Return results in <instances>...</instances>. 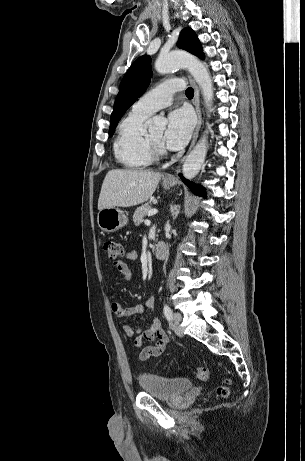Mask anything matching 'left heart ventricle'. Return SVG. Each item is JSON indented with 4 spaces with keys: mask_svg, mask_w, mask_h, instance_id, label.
Returning <instances> with one entry per match:
<instances>
[{
    "mask_svg": "<svg viewBox=\"0 0 305 461\" xmlns=\"http://www.w3.org/2000/svg\"><path fill=\"white\" fill-rule=\"evenodd\" d=\"M150 137L154 142H156L158 144H162V142H163V130L161 129V130L155 131L154 133H151Z\"/></svg>",
    "mask_w": 305,
    "mask_h": 461,
    "instance_id": "obj_1",
    "label": "left heart ventricle"
}]
</instances>
